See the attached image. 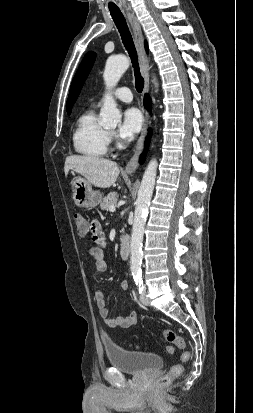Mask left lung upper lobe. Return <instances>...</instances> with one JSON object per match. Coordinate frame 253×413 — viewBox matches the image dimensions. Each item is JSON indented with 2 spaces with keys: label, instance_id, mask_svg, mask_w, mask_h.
Here are the masks:
<instances>
[{
  "label": "left lung upper lobe",
  "instance_id": "1",
  "mask_svg": "<svg viewBox=\"0 0 253 413\" xmlns=\"http://www.w3.org/2000/svg\"><path fill=\"white\" fill-rule=\"evenodd\" d=\"M95 57L96 54L94 52L87 53L77 70L70 87V93L66 104L68 114L71 113L72 106L78 98L81 88L93 66Z\"/></svg>",
  "mask_w": 253,
  "mask_h": 413
}]
</instances>
